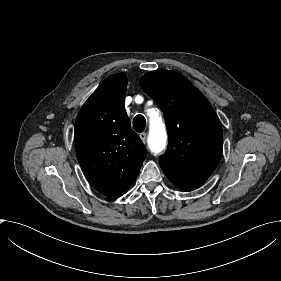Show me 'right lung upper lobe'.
Masks as SVG:
<instances>
[{
    "instance_id": "right-lung-upper-lobe-1",
    "label": "right lung upper lobe",
    "mask_w": 281,
    "mask_h": 281,
    "mask_svg": "<svg viewBox=\"0 0 281 281\" xmlns=\"http://www.w3.org/2000/svg\"><path fill=\"white\" fill-rule=\"evenodd\" d=\"M127 77L105 79L81 108L75 122L77 159L90 185L116 198L135 181L146 149L125 111Z\"/></svg>"
}]
</instances>
